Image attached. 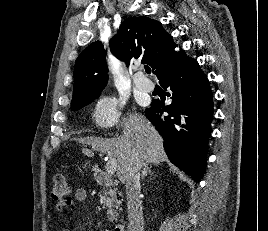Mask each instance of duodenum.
<instances>
[{"label":"duodenum","instance_id":"1","mask_svg":"<svg viewBox=\"0 0 268 231\" xmlns=\"http://www.w3.org/2000/svg\"><path fill=\"white\" fill-rule=\"evenodd\" d=\"M94 179L103 186H111L112 180L107 175V173L103 169H98L94 173ZM117 198H120V195L117 194ZM114 231H126L125 225L122 223L116 224Z\"/></svg>","mask_w":268,"mask_h":231}]
</instances>
